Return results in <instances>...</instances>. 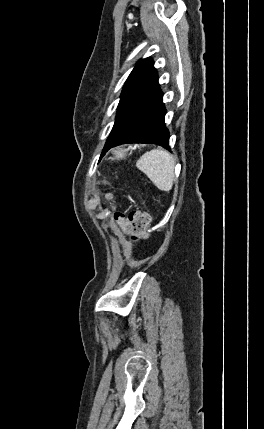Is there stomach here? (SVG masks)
<instances>
[{
  "label": "stomach",
  "mask_w": 264,
  "mask_h": 429,
  "mask_svg": "<svg viewBox=\"0 0 264 429\" xmlns=\"http://www.w3.org/2000/svg\"><path fill=\"white\" fill-rule=\"evenodd\" d=\"M126 154H127L126 149H118L114 152V158H112V159H117V160L123 159V158H125Z\"/></svg>",
  "instance_id": "obj_1"
}]
</instances>
